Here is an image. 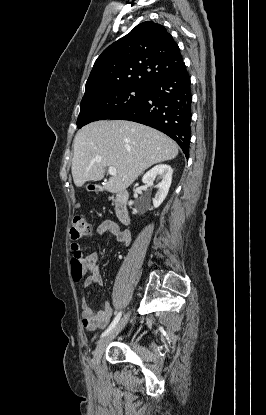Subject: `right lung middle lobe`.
Returning a JSON list of instances; mask_svg holds the SVG:
<instances>
[{
    "label": "right lung middle lobe",
    "mask_w": 266,
    "mask_h": 415,
    "mask_svg": "<svg viewBox=\"0 0 266 415\" xmlns=\"http://www.w3.org/2000/svg\"><path fill=\"white\" fill-rule=\"evenodd\" d=\"M148 88L122 86L82 98L78 128L98 120L110 119L117 113L140 102Z\"/></svg>",
    "instance_id": "obj_1"
}]
</instances>
